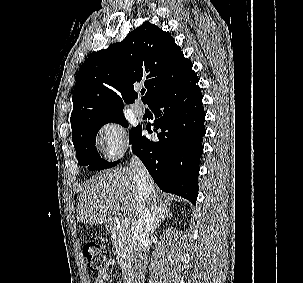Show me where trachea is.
Listing matches in <instances>:
<instances>
[{
  "label": "trachea",
  "instance_id": "1",
  "mask_svg": "<svg viewBox=\"0 0 303 283\" xmlns=\"http://www.w3.org/2000/svg\"><path fill=\"white\" fill-rule=\"evenodd\" d=\"M144 92H145V90H142V91H141V94H144Z\"/></svg>",
  "mask_w": 303,
  "mask_h": 283
}]
</instances>
